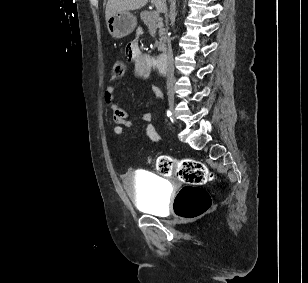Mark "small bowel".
Returning a JSON list of instances; mask_svg holds the SVG:
<instances>
[{
    "mask_svg": "<svg viewBox=\"0 0 308 283\" xmlns=\"http://www.w3.org/2000/svg\"><path fill=\"white\" fill-rule=\"evenodd\" d=\"M125 55L134 63L135 77L137 79H147L149 75L148 61L141 52L137 41H131L126 45ZM104 100L111 112V126L113 132L116 135H123L125 128L131 127L133 122L131 120L130 114L119 106L115 95V88L112 84H108L105 87ZM150 119L151 118L148 113H144L142 115V130L150 140L158 142L161 139V136L149 123Z\"/></svg>",
    "mask_w": 308,
    "mask_h": 283,
    "instance_id": "c3829d8e",
    "label": "small bowel"
}]
</instances>
